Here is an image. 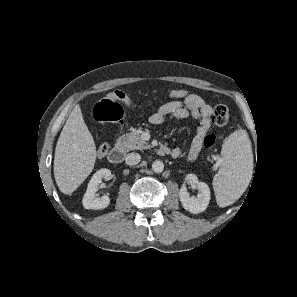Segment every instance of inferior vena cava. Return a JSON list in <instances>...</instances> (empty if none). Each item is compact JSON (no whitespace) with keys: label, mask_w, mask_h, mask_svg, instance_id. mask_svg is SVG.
Here are the masks:
<instances>
[{"label":"inferior vena cava","mask_w":297,"mask_h":297,"mask_svg":"<svg viewBox=\"0 0 297 297\" xmlns=\"http://www.w3.org/2000/svg\"><path fill=\"white\" fill-rule=\"evenodd\" d=\"M140 160H141L140 154L134 153V152L127 154L125 157V162L129 166L138 164Z\"/></svg>","instance_id":"inferior-vena-cava-1"}]
</instances>
